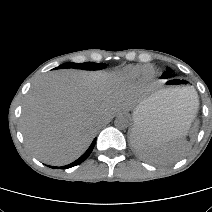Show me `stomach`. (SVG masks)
<instances>
[{
	"mask_svg": "<svg viewBox=\"0 0 212 212\" xmlns=\"http://www.w3.org/2000/svg\"><path fill=\"white\" fill-rule=\"evenodd\" d=\"M166 84L139 103L133 112V118L143 117L151 131L172 139L185 134L180 132V127L173 120L174 108L171 94L173 90L181 89L183 86L170 81ZM134 133L135 126L131 131V137Z\"/></svg>",
	"mask_w": 212,
	"mask_h": 212,
	"instance_id": "obj_1",
	"label": "stomach"
}]
</instances>
